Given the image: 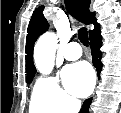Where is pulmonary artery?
<instances>
[{"instance_id": "pulmonary-artery-1", "label": "pulmonary artery", "mask_w": 121, "mask_h": 113, "mask_svg": "<svg viewBox=\"0 0 121 113\" xmlns=\"http://www.w3.org/2000/svg\"><path fill=\"white\" fill-rule=\"evenodd\" d=\"M63 56L68 61H75L82 56V49L77 42H70L63 50Z\"/></svg>"}]
</instances>
